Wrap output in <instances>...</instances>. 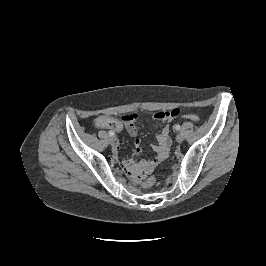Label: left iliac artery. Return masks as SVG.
Returning a JSON list of instances; mask_svg holds the SVG:
<instances>
[{"label": "left iliac artery", "instance_id": "1", "mask_svg": "<svg viewBox=\"0 0 266 266\" xmlns=\"http://www.w3.org/2000/svg\"><path fill=\"white\" fill-rule=\"evenodd\" d=\"M180 128H181V127H180V125H178V124H177V125H175V130H177V131H178V130H180Z\"/></svg>", "mask_w": 266, "mask_h": 266}]
</instances>
